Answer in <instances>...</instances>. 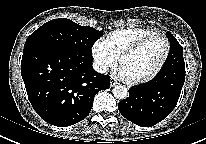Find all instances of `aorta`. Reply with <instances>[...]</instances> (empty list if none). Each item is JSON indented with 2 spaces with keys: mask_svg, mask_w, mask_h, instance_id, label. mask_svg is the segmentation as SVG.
Wrapping results in <instances>:
<instances>
[{
  "mask_svg": "<svg viewBox=\"0 0 206 144\" xmlns=\"http://www.w3.org/2000/svg\"><path fill=\"white\" fill-rule=\"evenodd\" d=\"M113 95L119 100H123L128 97V89L123 85H116L113 90Z\"/></svg>",
  "mask_w": 206,
  "mask_h": 144,
  "instance_id": "obj_1",
  "label": "aorta"
}]
</instances>
